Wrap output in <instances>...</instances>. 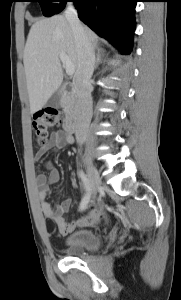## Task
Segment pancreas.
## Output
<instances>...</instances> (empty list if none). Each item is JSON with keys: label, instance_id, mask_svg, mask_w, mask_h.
<instances>
[{"label": "pancreas", "instance_id": "obj_1", "mask_svg": "<svg viewBox=\"0 0 181 300\" xmlns=\"http://www.w3.org/2000/svg\"><path fill=\"white\" fill-rule=\"evenodd\" d=\"M61 106H62L65 114L70 113L72 111V107H73L72 97L69 95H66L61 102Z\"/></svg>", "mask_w": 181, "mask_h": 300}]
</instances>
